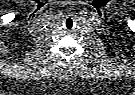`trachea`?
I'll list each match as a JSON object with an SVG mask.
<instances>
[{"label": "trachea", "mask_w": 135, "mask_h": 95, "mask_svg": "<svg viewBox=\"0 0 135 95\" xmlns=\"http://www.w3.org/2000/svg\"><path fill=\"white\" fill-rule=\"evenodd\" d=\"M66 27H67V29H69V30L73 27V20H72L71 18H68V19L66 20Z\"/></svg>", "instance_id": "3493384b"}]
</instances>
